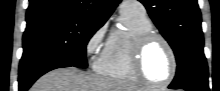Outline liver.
Listing matches in <instances>:
<instances>
[{
    "label": "liver",
    "instance_id": "6515ba94",
    "mask_svg": "<svg viewBox=\"0 0 220 91\" xmlns=\"http://www.w3.org/2000/svg\"><path fill=\"white\" fill-rule=\"evenodd\" d=\"M30 91H141L121 80L90 75L69 67L48 72L39 78Z\"/></svg>",
    "mask_w": 220,
    "mask_h": 91
}]
</instances>
